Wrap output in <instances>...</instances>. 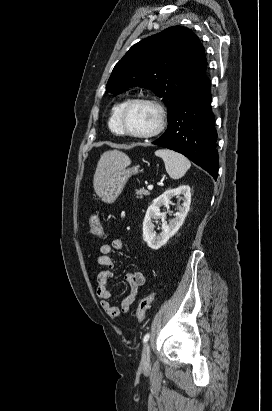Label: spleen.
Here are the masks:
<instances>
[{
  "instance_id": "3e777b00",
  "label": "spleen",
  "mask_w": 272,
  "mask_h": 411,
  "mask_svg": "<svg viewBox=\"0 0 272 411\" xmlns=\"http://www.w3.org/2000/svg\"><path fill=\"white\" fill-rule=\"evenodd\" d=\"M155 155L162 158L166 172L172 179L182 178L191 167L190 161L180 153L168 149H159Z\"/></svg>"
}]
</instances>
